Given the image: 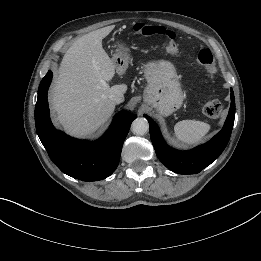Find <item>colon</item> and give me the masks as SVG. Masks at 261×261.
Listing matches in <instances>:
<instances>
[{
  "instance_id": "colon-1",
  "label": "colon",
  "mask_w": 261,
  "mask_h": 261,
  "mask_svg": "<svg viewBox=\"0 0 261 261\" xmlns=\"http://www.w3.org/2000/svg\"><path fill=\"white\" fill-rule=\"evenodd\" d=\"M134 31L144 36L160 35L164 38V45L167 52L173 56L178 55V47L176 44V35L174 32L167 30L164 27L156 25H146L138 23L134 25ZM196 64L203 67L208 76L213 77L215 74V60L212 52L209 49H202L197 57ZM202 112L210 118L217 119L222 115L223 105L218 100L207 101L203 107Z\"/></svg>"
}]
</instances>
